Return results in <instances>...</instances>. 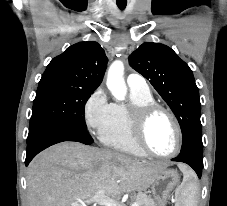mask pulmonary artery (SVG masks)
<instances>
[{
    "instance_id": "e3ab8cb5",
    "label": "pulmonary artery",
    "mask_w": 227,
    "mask_h": 206,
    "mask_svg": "<svg viewBox=\"0 0 227 206\" xmlns=\"http://www.w3.org/2000/svg\"><path fill=\"white\" fill-rule=\"evenodd\" d=\"M127 85L130 90L137 92H148L149 86L144 77L137 73H131L126 78Z\"/></svg>"
}]
</instances>
